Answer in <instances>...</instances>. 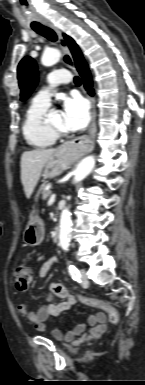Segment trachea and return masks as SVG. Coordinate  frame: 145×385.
<instances>
[{"label": "trachea", "mask_w": 145, "mask_h": 385, "mask_svg": "<svg viewBox=\"0 0 145 385\" xmlns=\"http://www.w3.org/2000/svg\"><path fill=\"white\" fill-rule=\"evenodd\" d=\"M32 29L36 33L42 35L43 37L47 38L48 40H50L52 42H55L57 40L56 33L49 27H46L42 24H36V25H32ZM74 83L77 86H80L81 85V79L78 76H75L74 77Z\"/></svg>", "instance_id": "obj_1"}]
</instances>
